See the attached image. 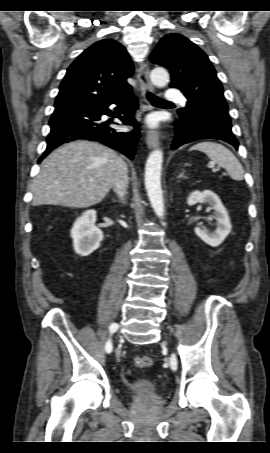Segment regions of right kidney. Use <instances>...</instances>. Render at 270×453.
Segmentation results:
<instances>
[{"label": "right kidney", "instance_id": "obj_1", "mask_svg": "<svg viewBox=\"0 0 270 453\" xmlns=\"http://www.w3.org/2000/svg\"><path fill=\"white\" fill-rule=\"evenodd\" d=\"M96 211L88 210L77 218L71 229L73 248L81 257L94 252L103 240V232L95 226Z\"/></svg>", "mask_w": 270, "mask_h": 453}]
</instances>
